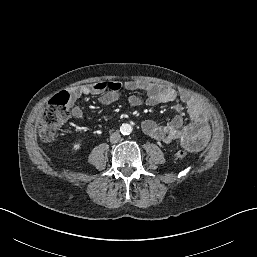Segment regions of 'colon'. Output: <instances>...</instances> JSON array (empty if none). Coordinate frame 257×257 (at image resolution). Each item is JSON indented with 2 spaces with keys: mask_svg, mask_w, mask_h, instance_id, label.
I'll list each match as a JSON object with an SVG mask.
<instances>
[{
  "mask_svg": "<svg viewBox=\"0 0 257 257\" xmlns=\"http://www.w3.org/2000/svg\"><path fill=\"white\" fill-rule=\"evenodd\" d=\"M70 100V94L67 91H61L55 94L42 110L37 128L43 141L50 142L57 138L58 130L69 118ZM187 156V150H178L175 153L176 160H183Z\"/></svg>",
  "mask_w": 257,
  "mask_h": 257,
  "instance_id": "colon-1",
  "label": "colon"
}]
</instances>
